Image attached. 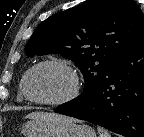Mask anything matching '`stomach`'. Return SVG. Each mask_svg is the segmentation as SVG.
Segmentation results:
<instances>
[{
    "mask_svg": "<svg viewBox=\"0 0 144 137\" xmlns=\"http://www.w3.org/2000/svg\"><path fill=\"white\" fill-rule=\"evenodd\" d=\"M21 133L24 137H96L92 127L70 119L29 121L22 126Z\"/></svg>",
    "mask_w": 144,
    "mask_h": 137,
    "instance_id": "1",
    "label": "stomach"
}]
</instances>
